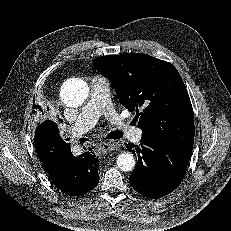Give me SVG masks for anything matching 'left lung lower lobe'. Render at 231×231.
Masks as SVG:
<instances>
[{
    "mask_svg": "<svg viewBox=\"0 0 231 231\" xmlns=\"http://www.w3.org/2000/svg\"><path fill=\"white\" fill-rule=\"evenodd\" d=\"M138 157V164L129 177L133 188L145 197L158 199L180 184L192 149H178L158 139H141V145H126Z\"/></svg>",
    "mask_w": 231,
    "mask_h": 231,
    "instance_id": "obj_1",
    "label": "left lung lower lobe"
}]
</instances>
